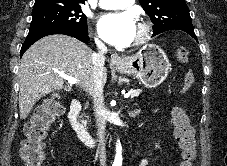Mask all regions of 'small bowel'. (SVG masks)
<instances>
[{
  "label": "small bowel",
  "instance_id": "obj_1",
  "mask_svg": "<svg viewBox=\"0 0 227 166\" xmlns=\"http://www.w3.org/2000/svg\"><path fill=\"white\" fill-rule=\"evenodd\" d=\"M148 164V161L147 160H142L140 163H139V166H146Z\"/></svg>",
  "mask_w": 227,
  "mask_h": 166
}]
</instances>
